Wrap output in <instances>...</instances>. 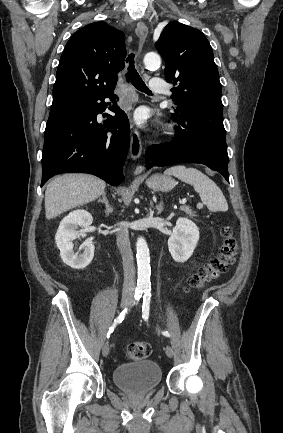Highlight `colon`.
Instances as JSON below:
<instances>
[{
  "label": "colon",
  "instance_id": "1",
  "mask_svg": "<svg viewBox=\"0 0 283 433\" xmlns=\"http://www.w3.org/2000/svg\"><path fill=\"white\" fill-rule=\"evenodd\" d=\"M221 235L222 243L219 253L189 277L185 287L186 292L199 289L204 284L216 279L227 272L234 263L239 247L232 228L229 226L223 227ZM150 353L151 346L144 341H135L126 347V355L131 360L145 359Z\"/></svg>",
  "mask_w": 283,
  "mask_h": 433
}]
</instances>
